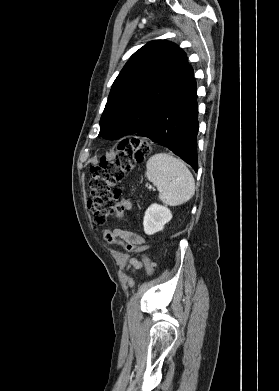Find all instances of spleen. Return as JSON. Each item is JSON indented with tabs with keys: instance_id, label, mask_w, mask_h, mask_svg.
<instances>
[{
	"instance_id": "obj_1",
	"label": "spleen",
	"mask_w": 279,
	"mask_h": 391,
	"mask_svg": "<svg viewBox=\"0 0 279 391\" xmlns=\"http://www.w3.org/2000/svg\"><path fill=\"white\" fill-rule=\"evenodd\" d=\"M145 174L158 188L159 199L166 205H181L195 193L192 173L183 161L169 153H158L149 158Z\"/></svg>"
}]
</instances>
